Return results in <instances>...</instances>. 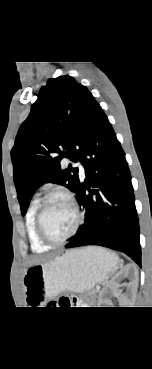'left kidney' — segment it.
<instances>
[{"label":"left kidney","mask_w":152,"mask_h":369,"mask_svg":"<svg viewBox=\"0 0 152 369\" xmlns=\"http://www.w3.org/2000/svg\"><path fill=\"white\" fill-rule=\"evenodd\" d=\"M130 277L128 288L136 290L138 286V271L134 266H125L114 278L108 283L107 287L103 289L98 298V307H106L105 305L111 304L110 295L121 297L119 290V282L121 278Z\"/></svg>","instance_id":"obj_1"}]
</instances>
